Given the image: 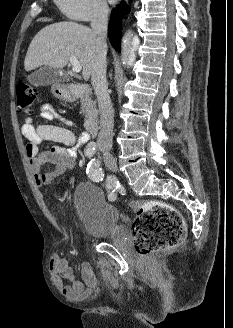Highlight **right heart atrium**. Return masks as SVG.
<instances>
[{
	"label": "right heart atrium",
	"mask_w": 233,
	"mask_h": 328,
	"mask_svg": "<svg viewBox=\"0 0 233 328\" xmlns=\"http://www.w3.org/2000/svg\"><path fill=\"white\" fill-rule=\"evenodd\" d=\"M61 12L76 21L102 18L108 12L105 0H56Z\"/></svg>",
	"instance_id": "1"
}]
</instances>
